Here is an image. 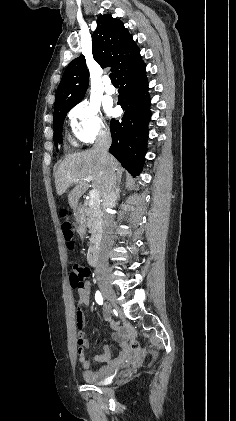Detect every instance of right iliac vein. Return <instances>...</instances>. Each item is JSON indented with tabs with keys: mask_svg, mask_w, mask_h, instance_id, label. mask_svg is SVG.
I'll return each mask as SVG.
<instances>
[{
	"mask_svg": "<svg viewBox=\"0 0 236 421\" xmlns=\"http://www.w3.org/2000/svg\"><path fill=\"white\" fill-rule=\"evenodd\" d=\"M99 285H100V289L104 298L108 300L109 302H111L112 304H115L117 300V296H116L115 291L108 286L109 285L108 281L106 279L105 280L101 279L99 281Z\"/></svg>",
	"mask_w": 236,
	"mask_h": 421,
	"instance_id": "right-iliac-vein-1",
	"label": "right iliac vein"
}]
</instances>
